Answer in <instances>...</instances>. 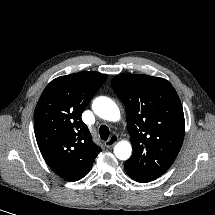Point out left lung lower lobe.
Wrapping results in <instances>:
<instances>
[{
  "instance_id": "left-lung-lower-lobe-1",
  "label": "left lung lower lobe",
  "mask_w": 215,
  "mask_h": 215,
  "mask_svg": "<svg viewBox=\"0 0 215 215\" xmlns=\"http://www.w3.org/2000/svg\"><path fill=\"white\" fill-rule=\"evenodd\" d=\"M126 173L135 181L137 182H141V183H146V182H150L152 180L149 179H145V178H141L137 175H135L134 173L130 172L129 170L125 169Z\"/></svg>"
}]
</instances>
